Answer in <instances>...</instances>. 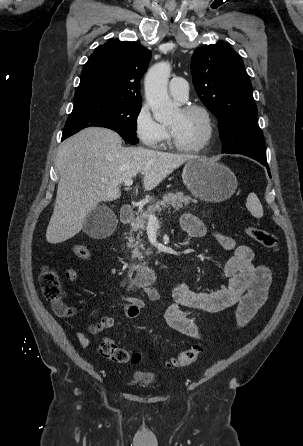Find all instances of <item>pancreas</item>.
Listing matches in <instances>:
<instances>
[{"label": "pancreas", "mask_w": 303, "mask_h": 446, "mask_svg": "<svg viewBox=\"0 0 303 446\" xmlns=\"http://www.w3.org/2000/svg\"><path fill=\"white\" fill-rule=\"evenodd\" d=\"M191 201H193V199L188 195H184L182 192L168 193L163 196V200L156 201L154 204L149 205L146 211H141L134 220L128 238L129 242L127 243V247L132 249V256L134 258L143 259L145 255L152 253L150 248L145 249L140 240V236L143 234L142 231L146 229L148 216L150 214L155 212L160 213L162 210H170L171 208H173L174 211H177L183 206H188ZM133 232H137L136 238L134 237Z\"/></svg>", "instance_id": "1"}]
</instances>
